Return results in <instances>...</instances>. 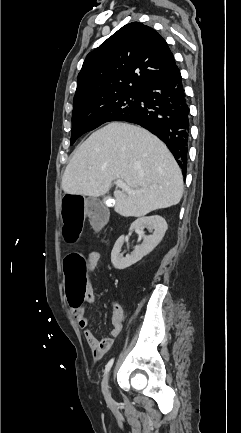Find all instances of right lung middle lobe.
I'll return each mask as SVG.
<instances>
[{
    "instance_id": "dd1d6c3e",
    "label": "right lung middle lobe",
    "mask_w": 241,
    "mask_h": 433,
    "mask_svg": "<svg viewBox=\"0 0 241 433\" xmlns=\"http://www.w3.org/2000/svg\"><path fill=\"white\" fill-rule=\"evenodd\" d=\"M140 100V91H127L74 104L71 145L82 134L106 122L122 119L138 106Z\"/></svg>"
}]
</instances>
